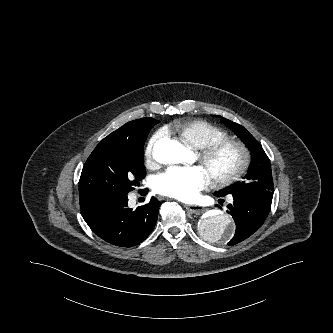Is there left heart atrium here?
Returning <instances> with one entry per match:
<instances>
[{
  "mask_svg": "<svg viewBox=\"0 0 333 333\" xmlns=\"http://www.w3.org/2000/svg\"><path fill=\"white\" fill-rule=\"evenodd\" d=\"M210 181V176L201 166L171 167L155 181V190L162 195L181 201L197 197Z\"/></svg>",
  "mask_w": 333,
  "mask_h": 333,
  "instance_id": "left-heart-atrium-1",
  "label": "left heart atrium"
}]
</instances>
